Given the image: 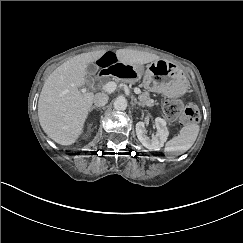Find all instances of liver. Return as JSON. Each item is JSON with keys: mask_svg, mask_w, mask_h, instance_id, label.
I'll use <instances>...</instances> for the list:
<instances>
[{"mask_svg": "<svg viewBox=\"0 0 243 243\" xmlns=\"http://www.w3.org/2000/svg\"><path fill=\"white\" fill-rule=\"evenodd\" d=\"M105 50L82 53L57 67L46 79L38 101L39 122L49 138L61 145L75 143L93 104L92 92L82 93L88 64L98 60ZM118 61L142 65L160 57L149 52L118 49Z\"/></svg>", "mask_w": 243, "mask_h": 243, "instance_id": "6515ba94", "label": "liver"}]
</instances>
